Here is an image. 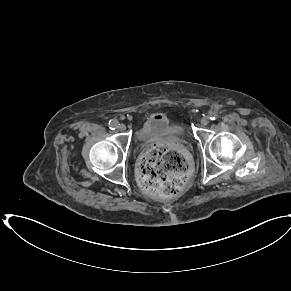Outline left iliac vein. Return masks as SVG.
<instances>
[{
    "mask_svg": "<svg viewBox=\"0 0 291 291\" xmlns=\"http://www.w3.org/2000/svg\"><path fill=\"white\" fill-rule=\"evenodd\" d=\"M208 123H209V118L208 117H204V118L201 119V124L203 126L208 125Z\"/></svg>",
    "mask_w": 291,
    "mask_h": 291,
    "instance_id": "4c4485c4",
    "label": "left iliac vein"
}]
</instances>
